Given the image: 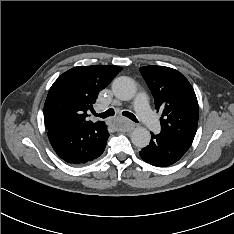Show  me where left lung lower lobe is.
Instances as JSON below:
<instances>
[{
  "mask_svg": "<svg viewBox=\"0 0 234 234\" xmlns=\"http://www.w3.org/2000/svg\"><path fill=\"white\" fill-rule=\"evenodd\" d=\"M186 151L173 142L169 137L151 133V141L148 146L140 151L141 158L158 167H166L177 162Z\"/></svg>",
  "mask_w": 234,
  "mask_h": 234,
  "instance_id": "0a47b994",
  "label": "left lung lower lobe"
}]
</instances>
